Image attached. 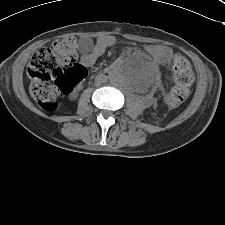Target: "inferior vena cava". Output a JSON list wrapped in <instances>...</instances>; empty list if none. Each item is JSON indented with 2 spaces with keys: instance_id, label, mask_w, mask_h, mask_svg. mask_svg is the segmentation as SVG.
<instances>
[{
  "instance_id": "obj_1",
  "label": "inferior vena cava",
  "mask_w": 225,
  "mask_h": 225,
  "mask_svg": "<svg viewBox=\"0 0 225 225\" xmlns=\"http://www.w3.org/2000/svg\"><path fill=\"white\" fill-rule=\"evenodd\" d=\"M105 80L103 78H100L97 80L98 84L103 83Z\"/></svg>"
}]
</instances>
